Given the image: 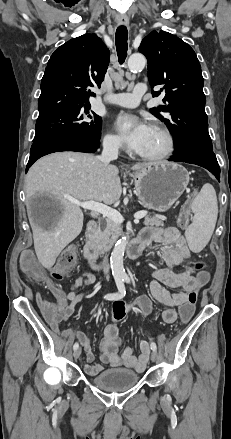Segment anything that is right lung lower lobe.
Returning a JSON list of instances; mask_svg holds the SVG:
<instances>
[{
    "label": "right lung lower lobe",
    "instance_id": "1",
    "mask_svg": "<svg viewBox=\"0 0 231 439\" xmlns=\"http://www.w3.org/2000/svg\"><path fill=\"white\" fill-rule=\"evenodd\" d=\"M100 145V139H89L80 137H58L32 144L30 158L26 171L40 157L60 151H76L93 153Z\"/></svg>",
    "mask_w": 231,
    "mask_h": 439
}]
</instances>
